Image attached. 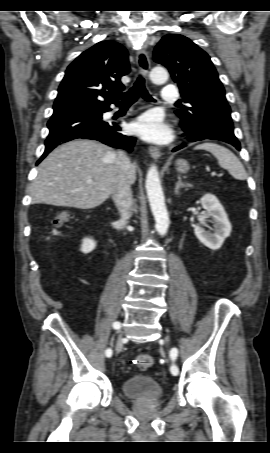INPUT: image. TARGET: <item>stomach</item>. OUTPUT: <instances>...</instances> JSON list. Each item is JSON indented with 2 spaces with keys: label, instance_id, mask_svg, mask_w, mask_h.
<instances>
[{
  "label": "stomach",
  "instance_id": "0dacf381",
  "mask_svg": "<svg viewBox=\"0 0 270 453\" xmlns=\"http://www.w3.org/2000/svg\"><path fill=\"white\" fill-rule=\"evenodd\" d=\"M175 165H176L178 172H180V173H186L190 168L188 162L184 159H178L175 162Z\"/></svg>",
  "mask_w": 270,
  "mask_h": 453
}]
</instances>
